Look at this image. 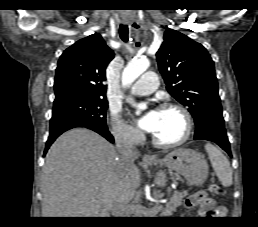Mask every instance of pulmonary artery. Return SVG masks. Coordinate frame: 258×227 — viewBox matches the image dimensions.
Listing matches in <instances>:
<instances>
[{
  "label": "pulmonary artery",
  "instance_id": "e3ab8cb5",
  "mask_svg": "<svg viewBox=\"0 0 258 227\" xmlns=\"http://www.w3.org/2000/svg\"><path fill=\"white\" fill-rule=\"evenodd\" d=\"M158 85V79L154 72H147L134 83L131 87V94L135 96L150 95L155 91Z\"/></svg>",
  "mask_w": 258,
  "mask_h": 227
}]
</instances>
